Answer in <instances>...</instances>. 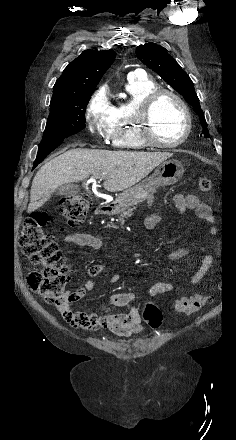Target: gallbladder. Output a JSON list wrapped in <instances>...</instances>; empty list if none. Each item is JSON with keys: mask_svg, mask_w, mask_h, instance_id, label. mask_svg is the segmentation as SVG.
<instances>
[{"mask_svg": "<svg viewBox=\"0 0 236 440\" xmlns=\"http://www.w3.org/2000/svg\"><path fill=\"white\" fill-rule=\"evenodd\" d=\"M80 192L78 186H76L73 183H67L63 184L60 187L57 188L56 194L57 195H77Z\"/></svg>", "mask_w": 236, "mask_h": 440, "instance_id": "obj_1", "label": "gallbladder"}]
</instances>
